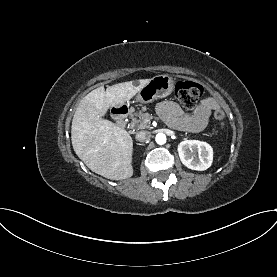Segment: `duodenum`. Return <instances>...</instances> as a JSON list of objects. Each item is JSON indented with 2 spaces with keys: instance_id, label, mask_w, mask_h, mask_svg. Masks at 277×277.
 Masks as SVG:
<instances>
[{
  "instance_id": "duodenum-1",
  "label": "duodenum",
  "mask_w": 277,
  "mask_h": 277,
  "mask_svg": "<svg viewBox=\"0 0 277 277\" xmlns=\"http://www.w3.org/2000/svg\"><path fill=\"white\" fill-rule=\"evenodd\" d=\"M112 115L116 120V123L119 127L123 128L126 125V120L129 115L128 108L125 106L115 107L112 110Z\"/></svg>"
}]
</instances>
